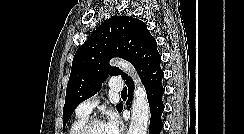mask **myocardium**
Here are the masks:
<instances>
[{
    "instance_id": "obj_1",
    "label": "myocardium",
    "mask_w": 244,
    "mask_h": 134,
    "mask_svg": "<svg viewBox=\"0 0 244 134\" xmlns=\"http://www.w3.org/2000/svg\"><path fill=\"white\" fill-rule=\"evenodd\" d=\"M104 124V121L98 118L87 120L79 129L77 134H89L94 126Z\"/></svg>"
}]
</instances>
